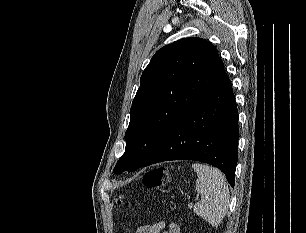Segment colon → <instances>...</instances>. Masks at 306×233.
Returning a JSON list of instances; mask_svg holds the SVG:
<instances>
[{
	"mask_svg": "<svg viewBox=\"0 0 306 233\" xmlns=\"http://www.w3.org/2000/svg\"><path fill=\"white\" fill-rule=\"evenodd\" d=\"M168 180V172L166 167H157L148 171L143 177V185L146 188H158L164 185ZM118 202L121 204L122 199Z\"/></svg>",
	"mask_w": 306,
	"mask_h": 233,
	"instance_id": "5ec220e1",
	"label": "colon"
}]
</instances>
